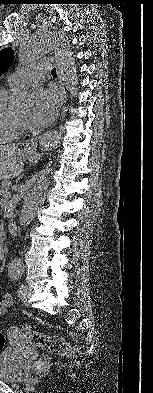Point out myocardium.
I'll return each mask as SVG.
<instances>
[{"instance_id":"myocardium-1","label":"myocardium","mask_w":153,"mask_h":393,"mask_svg":"<svg viewBox=\"0 0 153 393\" xmlns=\"http://www.w3.org/2000/svg\"><path fill=\"white\" fill-rule=\"evenodd\" d=\"M17 121L23 126L25 124V120L19 118L18 116H16Z\"/></svg>"}]
</instances>
